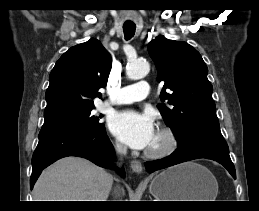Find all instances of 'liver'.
Here are the masks:
<instances>
[{
    "label": "liver",
    "mask_w": 259,
    "mask_h": 211,
    "mask_svg": "<svg viewBox=\"0 0 259 211\" xmlns=\"http://www.w3.org/2000/svg\"><path fill=\"white\" fill-rule=\"evenodd\" d=\"M113 176L92 162L66 157L45 169L34 189V201H107Z\"/></svg>",
    "instance_id": "obj_1"
}]
</instances>
